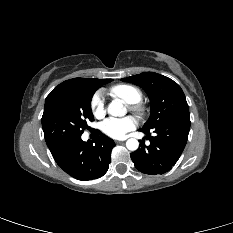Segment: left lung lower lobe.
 <instances>
[{
    "label": "left lung lower lobe",
    "instance_id": "obj_1",
    "mask_svg": "<svg viewBox=\"0 0 233 233\" xmlns=\"http://www.w3.org/2000/svg\"><path fill=\"white\" fill-rule=\"evenodd\" d=\"M190 129V116L166 121L152 130L157 134L150 137V130L140 129L150 141L145 145L143 138L140 148L131 153L135 167L149 175L164 174L180 158L187 143ZM150 137V138H149Z\"/></svg>",
    "mask_w": 233,
    "mask_h": 233
}]
</instances>
